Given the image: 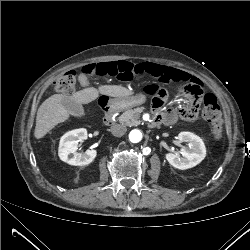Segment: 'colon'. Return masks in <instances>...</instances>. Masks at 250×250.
<instances>
[{
	"mask_svg": "<svg viewBox=\"0 0 250 250\" xmlns=\"http://www.w3.org/2000/svg\"><path fill=\"white\" fill-rule=\"evenodd\" d=\"M144 71L145 69L141 65H134L125 61L91 64L83 69V73L86 76L113 77L121 81L129 80L136 73ZM53 86L56 91L61 93L73 92L76 86L75 71L65 72L54 82ZM160 90L164 89L153 90L152 95L154 98L159 97L158 93ZM188 93L192 96H197L199 91L190 90ZM203 105V117L210 126L212 137L219 141L223 133L219 103L213 94L208 93L203 95Z\"/></svg>",
	"mask_w": 250,
	"mask_h": 250,
	"instance_id": "1",
	"label": "colon"
}]
</instances>
